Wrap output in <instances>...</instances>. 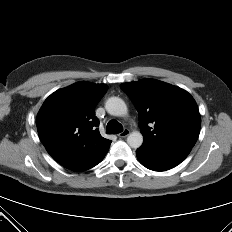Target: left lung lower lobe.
I'll return each instance as SVG.
<instances>
[{
  "instance_id": "1",
  "label": "left lung lower lobe",
  "mask_w": 232,
  "mask_h": 232,
  "mask_svg": "<svg viewBox=\"0 0 232 232\" xmlns=\"http://www.w3.org/2000/svg\"><path fill=\"white\" fill-rule=\"evenodd\" d=\"M191 148L175 147L167 149H150L140 147L136 150L142 165L154 171H166L180 164L190 153Z\"/></svg>"
}]
</instances>
